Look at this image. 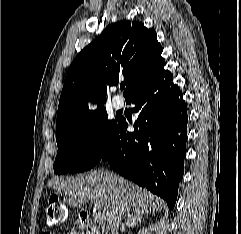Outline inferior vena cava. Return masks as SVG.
I'll list each match as a JSON object with an SVG mask.
<instances>
[{
  "label": "inferior vena cava",
  "instance_id": "inferior-vena-cava-1",
  "mask_svg": "<svg viewBox=\"0 0 241 234\" xmlns=\"http://www.w3.org/2000/svg\"><path fill=\"white\" fill-rule=\"evenodd\" d=\"M121 217H122L121 213H116L110 218L108 222L106 234H118V228L121 222Z\"/></svg>",
  "mask_w": 241,
  "mask_h": 234
}]
</instances>
